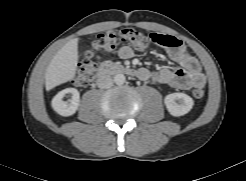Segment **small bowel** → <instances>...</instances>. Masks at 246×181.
I'll return each instance as SVG.
<instances>
[{"mask_svg":"<svg viewBox=\"0 0 246 181\" xmlns=\"http://www.w3.org/2000/svg\"><path fill=\"white\" fill-rule=\"evenodd\" d=\"M166 53L178 65L177 69L162 68L152 71L140 68L138 70L139 79L178 89L205 86L206 79L199 62L186 51L182 42L177 48H166ZM118 54L122 59H130L134 56V51L130 46H123L119 49Z\"/></svg>","mask_w":246,"mask_h":181,"instance_id":"c3829d8e","label":"small bowel"}]
</instances>
